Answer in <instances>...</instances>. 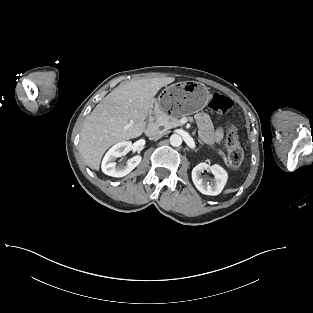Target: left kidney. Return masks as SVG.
<instances>
[{
    "instance_id": "obj_1",
    "label": "left kidney",
    "mask_w": 313,
    "mask_h": 313,
    "mask_svg": "<svg viewBox=\"0 0 313 313\" xmlns=\"http://www.w3.org/2000/svg\"><path fill=\"white\" fill-rule=\"evenodd\" d=\"M208 169L214 175V179L211 182H206L201 176V173ZM227 177V172L219 165L209 166L202 162L192 170V181L194 185L205 195L215 196L220 194L226 184Z\"/></svg>"
}]
</instances>
